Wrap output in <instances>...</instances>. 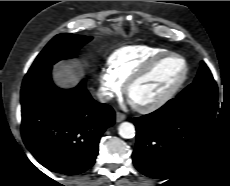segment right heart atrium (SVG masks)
<instances>
[{"label": "right heart atrium", "instance_id": "d8ad5b80", "mask_svg": "<svg viewBox=\"0 0 230 186\" xmlns=\"http://www.w3.org/2000/svg\"><path fill=\"white\" fill-rule=\"evenodd\" d=\"M100 92L104 99H111L118 95L123 83H121L107 68H102L99 74Z\"/></svg>", "mask_w": 230, "mask_h": 186}]
</instances>
